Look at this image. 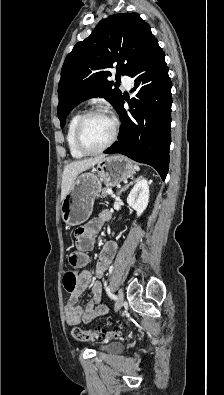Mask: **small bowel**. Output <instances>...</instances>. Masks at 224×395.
Instances as JSON below:
<instances>
[{"mask_svg": "<svg viewBox=\"0 0 224 395\" xmlns=\"http://www.w3.org/2000/svg\"><path fill=\"white\" fill-rule=\"evenodd\" d=\"M108 218V212L102 211L99 217L79 228L75 234L76 250L70 254V263L84 268L79 276L77 288L71 293L65 307V320L68 325H77L81 321L91 322L95 317L105 315L108 312L103 302L102 283L98 280L91 286V299L82 307L79 304L81 294L91 285V273L85 267L89 263L88 252L93 248L95 237L102 223ZM117 251V245L113 241L106 242L100 252L96 264V275L100 278L113 262Z\"/></svg>", "mask_w": 224, "mask_h": 395, "instance_id": "c3829d8e", "label": "small bowel"}]
</instances>
